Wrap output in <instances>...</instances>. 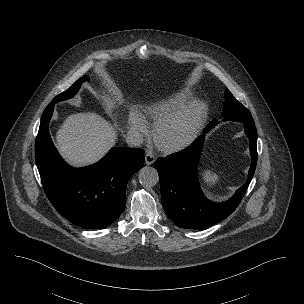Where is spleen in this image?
<instances>
[{"label": "spleen", "instance_id": "3e777b00", "mask_svg": "<svg viewBox=\"0 0 304 304\" xmlns=\"http://www.w3.org/2000/svg\"><path fill=\"white\" fill-rule=\"evenodd\" d=\"M202 180L204 183L212 185L217 182L218 177H217V175L212 174L210 171H204L202 173Z\"/></svg>", "mask_w": 304, "mask_h": 304}]
</instances>
